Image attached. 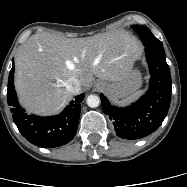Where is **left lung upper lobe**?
<instances>
[{"label": "left lung upper lobe", "mask_w": 187, "mask_h": 187, "mask_svg": "<svg viewBox=\"0 0 187 187\" xmlns=\"http://www.w3.org/2000/svg\"><path fill=\"white\" fill-rule=\"evenodd\" d=\"M132 28L139 34L142 42L146 47L164 50L162 43L151 33L147 27L133 25Z\"/></svg>", "instance_id": "5c2ea615"}]
</instances>
